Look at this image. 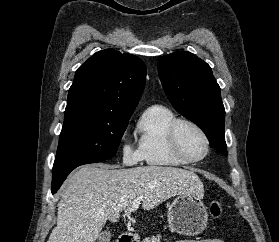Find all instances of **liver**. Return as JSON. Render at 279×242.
Masks as SVG:
<instances>
[{"instance_id": "obj_1", "label": "liver", "mask_w": 279, "mask_h": 242, "mask_svg": "<svg viewBox=\"0 0 279 242\" xmlns=\"http://www.w3.org/2000/svg\"><path fill=\"white\" fill-rule=\"evenodd\" d=\"M181 194L203 197V183L194 172L161 166H82L61 187L57 226L47 242H95L106 222H117L134 199L141 197L143 209L150 210Z\"/></svg>"}]
</instances>
